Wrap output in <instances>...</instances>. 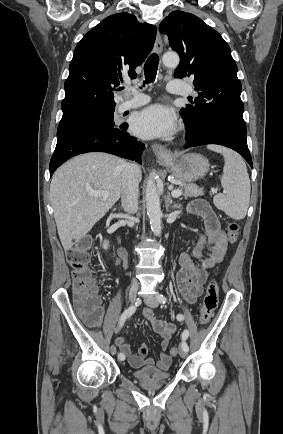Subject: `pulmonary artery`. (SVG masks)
Returning a JSON list of instances; mask_svg holds the SVG:
<instances>
[{"mask_svg":"<svg viewBox=\"0 0 283 434\" xmlns=\"http://www.w3.org/2000/svg\"><path fill=\"white\" fill-rule=\"evenodd\" d=\"M168 91L173 94L189 95L193 93V87L187 83H183L177 80L170 81L168 84ZM129 94H132L131 98H124L118 105L119 112H125L129 109L140 107L149 101V98L143 94L135 92L131 87L127 89Z\"/></svg>","mask_w":283,"mask_h":434,"instance_id":"1","label":"pulmonary artery"}]
</instances>
